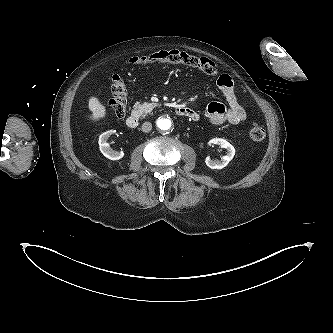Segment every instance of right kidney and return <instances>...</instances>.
Masks as SVG:
<instances>
[{
  "label": "right kidney",
  "instance_id": "1",
  "mask_svg": "<svg viewBox=\"0 0 333 333\" xmlns=\"http://www.w3.org/2000/svg\"><path fill=\"white\" fill-rule=\"evenodd\" d=\"M115 131L110 130L107 132H104L103 134L100 135L99 137V148L101 153L108 159L110 160H119L124 156L123 151H114L113 149L110 148V144L107 143V139L109 138L110 135H112Z\"/></svg>",
  "mask_w": 333,
  "mask_h": 333
}]
</instances>
